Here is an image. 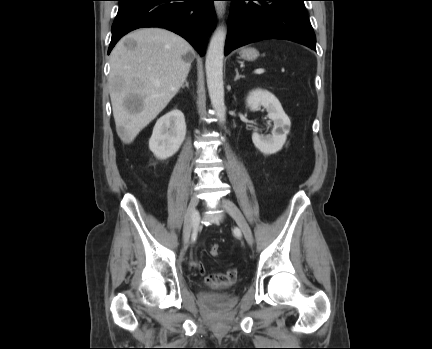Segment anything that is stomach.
<instances>
[{
  "label": "stomach",
  "instance_id": "0dacf381",
  "mask_svg": "<svg viewBox=\"0 0 432 349\" xmlns=\"http://www.w3.org/2000/svg\"><path fill=\"white\" fill-rule=\"evenodd\" d=\"M239 55L246 61H254L258 58L259 52L253 47H245L240 49Z\"/></svg>",
  "mask_w": 432,
  "mask_h": 349
}]
</instances>
